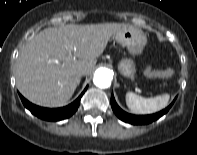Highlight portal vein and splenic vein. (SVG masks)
I'll return each mask as SVG.
<instances>
[{
  "mask_svg": "<svg viewBox=\"0 0 197 155\" xmlns=\"http://www.w3.org/2000/svg\"><path fill=\"white\" fill-rule=\"evenodd\" d=\"M67 49L72 50V49H73V47H72V46H69V47H67Z\"/></svg>",
  "mask_w": 197,
  "mask_h": 155,
  "instance_id": "18ae733b",
  "label": "portal vein and splenic vein"
}]
</instances>
